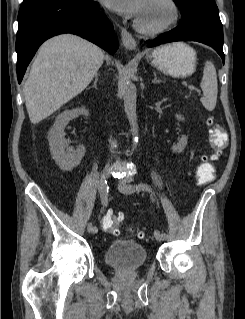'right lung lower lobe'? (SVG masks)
Returning a JSON list of instances; mask_svg holds the SVG:
<instances>
[{
	"instance_id": "1",
	"label": "right lung lower lobe",
	"mask_w": 245,
	"mask_h": 319,
	"mask_svg": "<svg viewBox=\"0 0 245 319\" xmlns=\"http://www.w3.org/2000/svg\"><path fill=\"white\" fill-rule=\"evenodd\" d=\"M99 9V4L92 0H43L22 4L16 38L18 82L21 83L38 47L54 35L73 33L114 53L118 39L107 16Z\"/></svg>"
}]
</instances>
